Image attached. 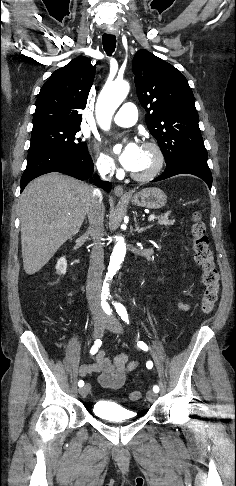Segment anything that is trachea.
<instances>
[{
	"label": "trachea",
	"mask_w": 236,
	"mask_h": 486,
	"mask_svg": "<svg viewBox=\"0 0 236 486\" xmlns=\"http://www.w3.org/2000/svg\"><path fill=\"white\" fill-rule=\"evenodd\" d=\"M103 48L108 56L112 55L116 48V36L112 34H103Z\"/></svg>",
	"instance_id": "trachea-1"
}]
</instances>
